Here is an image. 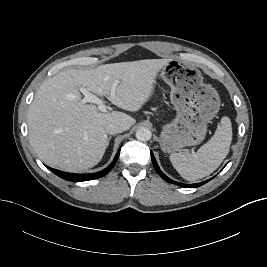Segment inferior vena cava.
<instances>
[{
	"mask_svg": "<svg viewBox=\"0 0 267 267\" xmlns=\"http://www.w3.org/2000/svg\"><path fill=\"white\" fill-rule=\"evenodd\" d=\"M124 130H126V126L119 122H110L105 127V131L108 134H118Z\"/></svg>",
	"mask_w": 267,
	"mask_h": 267,
	"instance_id": "obj_1",
	"label": "inferior vena cava"
}]
</instances>
